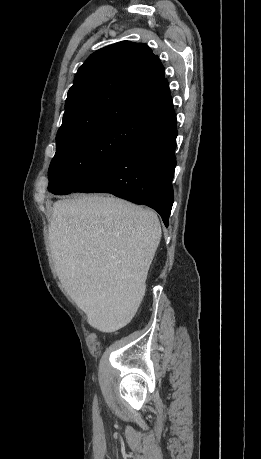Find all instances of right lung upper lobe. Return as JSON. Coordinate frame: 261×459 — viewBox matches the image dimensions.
I'll use <instances>...</instances> for the list:
<instances>
[{
  "instance_id": "1",
  "label": "right lung upper lobe",
  "mask_w": 261,
  "mask_h": 459,
  "mask_svg": "<svg viewBox=\"0 0 261 459\" xmlns=\"http://www.w3.org/2000/svg\"><path fill=\"white\" fill-rule=\"evenodd\" d=\"M173 112L158 56L146 44L122 41L96 51L78 69L56 139L116 121L151 126Z\"/></svg>"
}]
</instances>
